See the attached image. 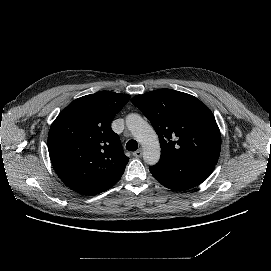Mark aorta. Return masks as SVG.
<instances>
[{
  "mask_svg": "<svg viewBox=\"0 0 271 271\" xmlns=\"http://www.w3.org/2000/svg\"><path fill=\"white\" fill-rule=\"evenodd\" d=\"M126 124L144 150V161L150 165L156 164L160 159L161 149L158 136L152 126L137 114L128 115Z\"/></svg>",
  "mask_w": 271,
  "mask_h": 271,
  "instance_id": "obj_1",
  "label": "aorta"
}]
</instances>
